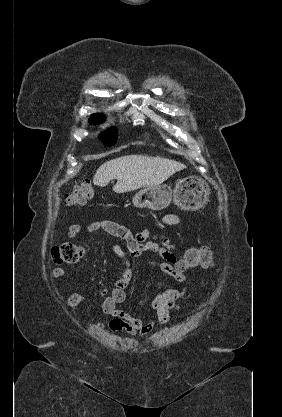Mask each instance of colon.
<instances>
[{
    "mask_svg": "<svg viewBox=\"0 0 282 417\" xmlns=\"http://www.w3.org/2000/svg\"><path fill=\"white\" fill-rule=\"evenodd\" d=\"M94 193V187L90 183H80L73 187L67 196L71 205L85 203ZM84 254L83 249L72 242H61L53 248L51 259L57 264L72 265L80 261ZM182 257V266H165V269L173 275L182 276L191 268L199 265L202 268H210L214 265L215 257L212 250L206 246L191 248Z\"/></svg>",
    "mask_w": 282,
    "mask_h": 417,
    "instance_id": "obj_1",
    "label": "colon"
}]
</instances>
